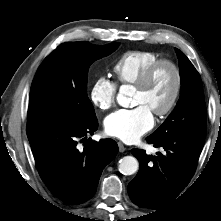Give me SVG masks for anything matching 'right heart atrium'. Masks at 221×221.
<instances>
[{
	"label": "right heart atrium",
	"mask_w": 221,
	"mask_h": 221,
	"mask_svg": "<svg viewBox=\"0 0 221 221\" xmlns=\"http://www.w3.org/2000/svg\"><path fill=\"white\" fill-rule=\"evenodd\" d=\"M116 85L105 76H99L92 84L89 99L92 105L100 111L110 109L116 99Z\"/></svg>",
	"instance_id": "1"
}]
</instances>
